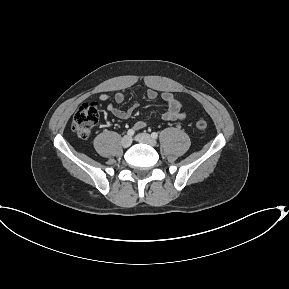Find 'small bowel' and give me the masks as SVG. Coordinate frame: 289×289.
Masks as SVG:
<instances>
[{"label": "small bowel", "mask_w": 289, "mask_h": 289, "mask_svg": "<svg viewBox=\"0 0 289 289\" xmlns=\"http://www.w3.org/2000/svg\"><path fill=\"white\" fill-rule=\"evenodd\" d=\"M146 95L149 99H156L158 93L152 89L146 92ZM162 100L165 102L167 109L161 115V119L165 121H175L181 120L185 117L184 112L182 111L181 102L170 92H164L161 95ZM99 100L102 102H108L107 111L112 113L115 117L119 119H128L133 110L137 107V105H133L128 109H120L117 108L114 103L120 104L125 100V94L123 92H117L113 98H111L107 94H101L99 96ZM146 126L144 121H139L134 125L136 130L142 129Z\"/></svg>", "instance_id": "c3829d8e"}]
</instances>
